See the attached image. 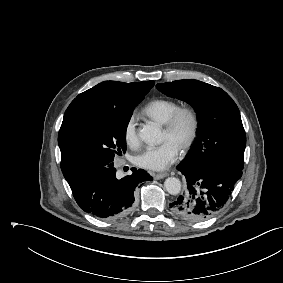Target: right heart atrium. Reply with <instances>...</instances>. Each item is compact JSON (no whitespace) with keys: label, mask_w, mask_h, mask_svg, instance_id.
<instances>
[{"label":"right heart atrium","mask_w":283,"mask_h":283,"mask_svg":"<svg viewBox=\"0 0 283 283\" xmlns=\"http://www.w3.org/2000/svg\"><path fill=\"white\" fill-rule=\"evenodd\" d=\"M124 139L127 145L136 147L139 144V134L137 128V118L135 115H131L124 126Z\"/></svg>","instance_id":"obj_1"}]
</instances>
